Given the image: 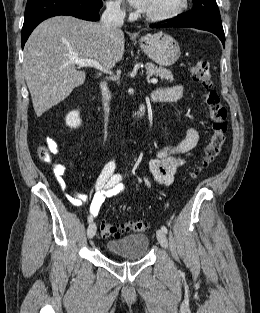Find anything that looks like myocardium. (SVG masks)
I'll return each mask as SVG.
<instances>
[{"mask_svg": "<svg viewBox=\"0 0 260 313\" xmlns=\"http://www.w3.org/2000/svg\"><path fill=\"white\" fill-rule=\"evenodd\" d=\"M188 5H189V0H180L178 6L175 9L167 13L159 14V15L143 13V17L146 20L151 21V22L169 21L180 16L188 8Z\"/></svg>", "mask_w": 260, "mask_h": 313, "instance_id": "myocardium-1", "label": "myocardium"}]
</instances>
